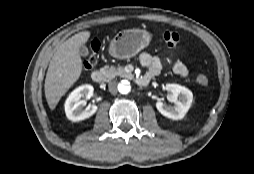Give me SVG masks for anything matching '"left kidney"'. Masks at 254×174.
Returning a JSON list of instances; mask_svg holds the SVG:
<instances>
[{"instance_id":"5707ae66","label":"left kidney","mask_w":254,"mask_h":174,"mask_svg":"<svg viewBox=\"0 0 254 174\" xmlns=\"http://www.w3.org/2000/svg\"><path fill=\"white\" fill-rule=\"evenodd\" d=\"M165 89L168 92L170 101L174 104L173 106H167L160 100L156 102L157 110L165 117L180 120L182 119L187 111L189 110L192 101V92L179 84H166Z\"/></svg>"}]
</instances>
